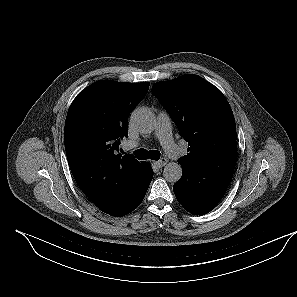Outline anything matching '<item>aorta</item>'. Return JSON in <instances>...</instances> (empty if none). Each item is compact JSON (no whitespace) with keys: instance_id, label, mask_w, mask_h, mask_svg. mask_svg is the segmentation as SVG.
I'll use <instances>...</instances> for the list:
<instances>
[{"instance_id":"762f6f07","label":"aorta","mask_w":297,"mask_h":297,"mask_svg":"<svg viewBox=\"0 0 297 297\" xmlns=\"http://www.w3.org/2000/svg\"><path fill=\"white\" fill-rule=\"evenodd\" d=\"M133 126L140 132L150 133L154 129V116L145 108H137L131 114ZM163 176L166 181L176 183L182 176V168L176 162L168 163L163 170Z\"/></svg>"}]
</instances>
